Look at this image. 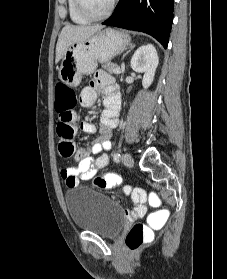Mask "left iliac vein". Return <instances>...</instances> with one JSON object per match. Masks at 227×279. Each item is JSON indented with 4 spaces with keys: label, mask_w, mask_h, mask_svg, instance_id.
Instances as JSON below:
<instances>
[{
    "label": "left iliac vein",
    "mask_w": 227,
    "mask_h": 279,
    "mask_svg": "<svg viewBox=\"0 0 227 279\" xmlns=\"http://www.w3.org/2000/svg\"><path fill=\"white\" fill-rule=\"evenodd\" d=\"M122 162L124 165L128 166V167H132L134 164V160L132 158V156L129 153H125L122 157Z\"/></svg>",
    "instance_id": "1"
}]
</instances>
